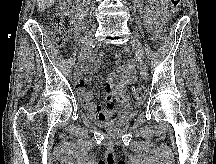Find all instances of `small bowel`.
Masks as SVG:
<instances>
[{
  "instance_id": "1",
  "label": "small bowel",
  "mask_w": 216,
  "mask_h": 164,
  "mask_svg": "<svg viewBox=\"0 0 216 164\" xmlns=\"http://www.w3.org/2000/svg\"><path fill=\"white\" fill-rule=\"evenodd\" d=\"M169 0H148L146 9L147 21L156 37L161 33L162 23L166 14ZM100 55L94 53L86 63L85 71L93 73L98 65ZM120 77L114 74L107 76L108 80V103L106 106L94 102L95 92L88 89L90 77H84L80 72H75L74 80L77 93L85 110L97 120H108L117 114L121 107H129L124 104L120 106L117 100L119 94H123L127 87L136 80V69L133 61L121 63L119 66Z\"/></svg>"
}]
</instances>
